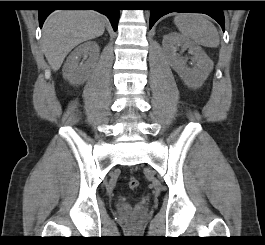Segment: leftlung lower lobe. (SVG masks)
<instances>
[{
  "label": "left lung lower lobe",
  "instance_id": "0a47b994",
  "mask_svg": "<svg viewBox=\"0 0 265 245\" xmlns=\"http://www.w3.org/2000/svg\"><path fill=\"white\" fill-rule=\"evenodd\" d=\"M157 5L160 7L154 8L151 10L150 14V29L155 24V22L165 14L170 12H196V13H205L215 19L223 31L225 30V19L223 10L221 8H208V9H195L192 8L195 3L199 1H156ZM207 4H217L216 1H209Z\"/></svg>",
  "mask_w": 265,
  "mask_h": 245
}]
</instances>
